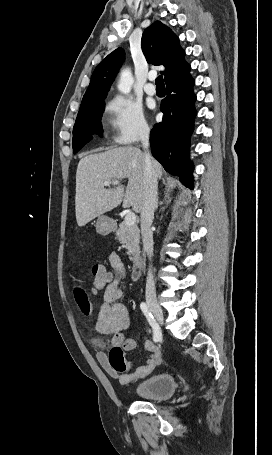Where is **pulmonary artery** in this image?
I'll return each mask as SVG.
<instances>
[{
	"label": "pulmonary artery",
	"instance_id": "pulmonary-artery-1",
	"mask_svg": "<svg viewBox=\"0 0 272 455\" xmlns=\"http://www.w3.org/2000/svg\"><path fill=\"white\" fill-rule=\"evenodd\" d=\"M154 78H155L154 75H149L148 77L149 81L154 80ZM144 90L146 94L150 96H154L156 94V88L151 82L146 83V85L144 86Z\"/></svg>",
	"mask_w": 272,
	"mask_h": 455
}]
</instances>
